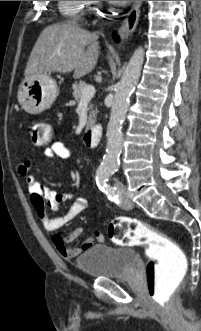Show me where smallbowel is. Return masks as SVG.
Returning a JSON list of instances; mask_svg holds the SVG:
<instances>
[{
    "label": "small bowel",
    "instance_id": "c3829d8e",
    "mask_svg": "<svg viewBox=\"0 0 201 331\" xmlns=\"http://www.w3.org/2000/svg\"><path fill=\"white\" fill-rule=\"evenodd\" d=\"M44 155L47 158H62L69 159L71 157L70 149L60 141H54L44 150ZM32 163L30 160L22 161L18 166V172L27 184L30 201L40 219L42 225L47 231H57L80 214L87 207V201L82 196H75L71 193H59L52 191L48 187L42 185L36 176L31 172ZM73 199V203L66 212L57 217H51L47 211V206L56 208L59 204ZM82 228H74L68 235L54 234L52 237L53 244L57 252L64 258H74L81 253H84L96 242H103L104 236L100 232H96L93 236L85 239L79 246L70 247L69 245L77 240L82 235Z\"/></svg>",
    "mask_w": 201,
    "mask_h": 331
}]
</instances>
